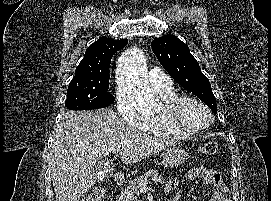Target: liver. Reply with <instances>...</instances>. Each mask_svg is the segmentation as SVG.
Here are the masks:
<instances>
[{"instance_id":"6515ba94","label":"liver","mask_w":271,"mask_h":201,"mask_svg":"<svg viewBox=\"0 0 271 201\" xmlns=\"http://www.w3.org/2000/svg\"><path fill=\"white\" fill-rule=\"evenodd\" d=\"M174 144L129 126L110 108L63 112L51 148L55 201H78L85 195L97 181L98 160L114 153L118 146L123 147L121 161L132 164Z\"/></svg>"}]
</instances>
